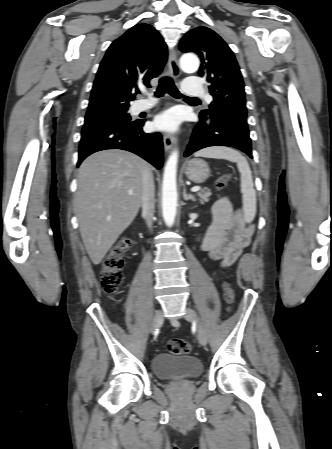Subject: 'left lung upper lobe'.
Here are the masks:
<instances>
[{"label":"left lung upper lobe","instance_id":"obj_1","mask_svg":"<svg viewBox=\"0 0 332 449\" xmlns=\"http://www.w3.org/2000/svg\"><path fill=\"white\" fill-rule=\"evenodd\" d=\"M182 52H194L201 59L199 76L210 83L214 100L200 112V121L217 116L247 117L244 83L235 56L223 39L207 27L189 31L180 41Z\"/></svg>","mask_w":332,"mask_h":449}]
</instances>
